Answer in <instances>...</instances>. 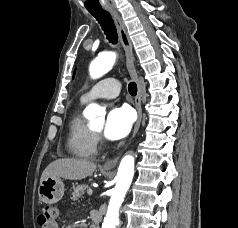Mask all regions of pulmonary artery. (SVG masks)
<instances>
[{
	"instance_id": "obj_1",
	"label": "pulmonary artery",
	"mask_w": 238,
	"mask_h": 228,
	"mask_svg": "<svg viewBox=\"0 0 238 228\" xmlns=\"http://www.w3.org/2000/svg\"><path fill=\"white\" fill-rule=\"evenodd\" d=\"M120 93V83L116 78H106L88 89L81 97L83 102H89L97 98H115Z\"/></svg>"
}]
</instances>
